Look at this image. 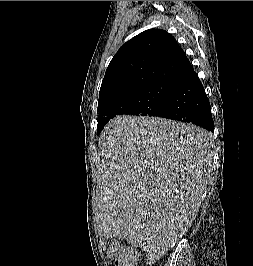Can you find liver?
<instances>
[{
    "label": "liver",
    "instance_id": "1",
    "mask_svg": "<svg viewBox=\"0 0 253 266\" xmlns=\"http://www.w3.org/2000/svg\"><path fill=\"white\" fill-rule=\"evenodd\" d=\"M211 135L164 118L117 116L99 145L100 236L119 237L151 257L165 254L195 220L206 189Z\"/></svg>",
    "mask_w": 253,
    "mask_h": 266
}]
</instances>
